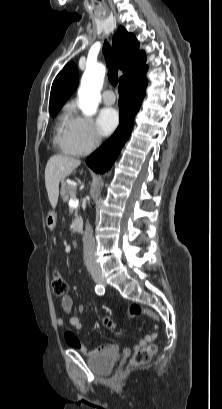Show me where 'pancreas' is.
I'll return each instance as SVG.
<instances>
[{
	"instance_id": "1",
	"label": "pancreas",
	"mask_w": 222,
	"mask_h": 409,
	"mask_svg": "<svg viewBox=\"0 0 222 409\" xmlns=\"http://www.w3.org/2000/svg\"><path fill=\"white\" fill-rule=\"evenodd\" d=\"M61 195L64 202L76 197V187L68 182H61ZM77 213V211H76Z\"/></svg>"
}]
</instances>
